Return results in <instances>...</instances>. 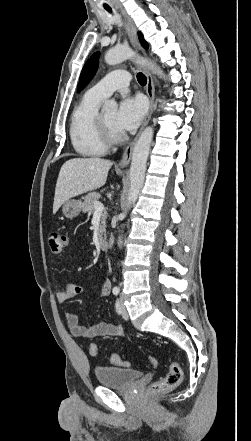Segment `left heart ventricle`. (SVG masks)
Wrapping results in <instances>:
<instances>
[{"label": "left heart ventricle", "mask_w": 251, "mask_h": 441, "mask_svg": "<svg viewBox=\"0 0 251 441\" xmlns=\"http://www.w3.org/2000/svg\"><path fill=\"white\" fill-rule=\"evenodd\" d=\"M116 113H117L116 110H108L103 112L102 115L109 129L114 134H121V132L115 126Z\"/></svg>", "instance_id": "obj_1"}]
</instances>
